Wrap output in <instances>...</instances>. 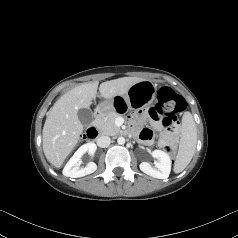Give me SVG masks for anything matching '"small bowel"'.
Here are the masks:
<instances>
[{"instance_id": "obj_1", "label": "small bowel", "mask_w": 238, "mask_h": 238, "mask_svg": "<svg viewBox=\"0 0 238 238\" xmlns=\"http://www.w3.org/2000/svg\"><path fill=\"white\" fill-rule=\"evenodd\" d=\"M146 114L151 118V123L154 128L161 130L163 128V116L160 113H157V109L154 106H149L146 109ZM144 113H140L136 116V118L131 119V127L132 129L137 133L139 139L145 143V144H152L155 139V135L153 131L149 128H140V124L146 121L147 115ZM167 139L173 143L176 142L177 140V135L176 133H164L160 139H159V144L161 146V143L163 139Z\"/></svg>"}]
</instances>
